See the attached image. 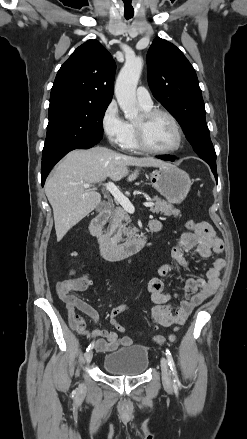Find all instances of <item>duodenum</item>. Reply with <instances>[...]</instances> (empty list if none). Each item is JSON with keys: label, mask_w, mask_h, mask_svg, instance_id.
Listing matches in <instances>:
<instances>
[{"label": "duodenum", "mask_w": 247, "mask_h": 439, "mask_svg": "<svg viewBox=\"0 0 247 439\" xmlns=\"http://www.w3.org/2000/svg\"><path fill=\"white\" fill-rule=\"evenodd\" d=\"M110 218V210L98 214L89 225L90 234L97 240L102 256L109 260H117L141 251L147 244L145 234L136 235L123 243L111 241L104 233V226ZM149 231L152 232L149 226Z\"/></svg>", "instance_id": "1"}]
</instances>
